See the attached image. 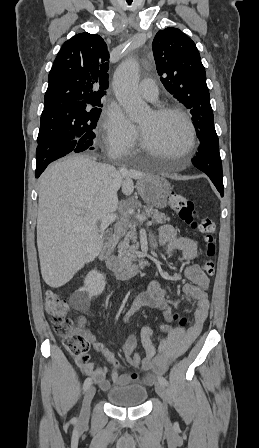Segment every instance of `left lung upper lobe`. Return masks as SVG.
Segmentation results:
<instances>
[{
  "instance_id": "5c2ea615",
  "label": "left lung upper lobe",
  "mask_w": 259,
  "mask_h": 448,
  "mask_svg": "<svg viewBox=\"0 0 259 448\" xmlns=\"http://www.w3.org/2000/svg\"><path fill=\"white\" fill-rule=\"evenodd\" d=\"M158 75L167 91L190 109L199 140L217 137L205 68L195 43L181 30H160L153 40Z\"/></svg>"
}]
</instances>
